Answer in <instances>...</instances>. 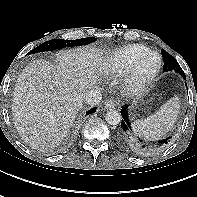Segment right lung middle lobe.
<instances>
[{"instance_id":"right-lung-middle-lobe-1","label":"right lung middle lobe","mask_w":197,"mask_h":197,"mask_svg":"<svg viewBox=\"0 0 197 197\" xmlns=\"http://www.w3.org/2000/svg\"><path fill=\"white\" fill-rule=\"evenodd\" d=\"M95 40L96 38L93 37L77 39V40H63V39L50 40L48 42H44L43 44L37 46L32 51H30L29 54L43 52V51H52L54 49H60L65 46L67 47L82 46L92 43Z\"/></svg>"}]
</instances>
